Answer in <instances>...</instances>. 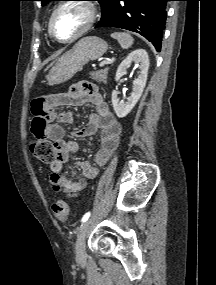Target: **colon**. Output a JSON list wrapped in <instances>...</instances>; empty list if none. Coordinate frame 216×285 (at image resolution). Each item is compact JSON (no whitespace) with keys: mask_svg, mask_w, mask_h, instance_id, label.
<instances>
[{"mask_svg":"<svg viewBox=\"0 0 216 285\" xmlns=\"http://www.w3.org/2000/svg\"><path fill=\"white\" fill-rule=\"evenodd\" d=\"M31 153L40 161L51 163L55 159V150L50 141H42V136H35L29 145ZM52 211L54 216L61 222L67 223L69 219L70 207L63 200L53 203Z\"/></svg>","mask_w":216,"mask_h":285,"instance_id":"5ec220e1","label":"colon"}]
</instances>
